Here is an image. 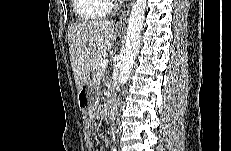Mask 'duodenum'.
<instances>
[{
	"label": "duodenum",
	"instance_id": "duodenum-1",
	"mask_svg": "<svg viewBox=\"0 0 231 151\" xmlns=\"http://www.w3.org/2000/svg\"><path fill=\"white\" fill-rule=\"evenodd\" d=\"M115 106V102L111 101L109 105L106 106V108L104 109V112L106 115H109L112 113V109Z\"/></svg>",
	"mask_w": 231,
	"mask_h": 151
}]
</instances>
